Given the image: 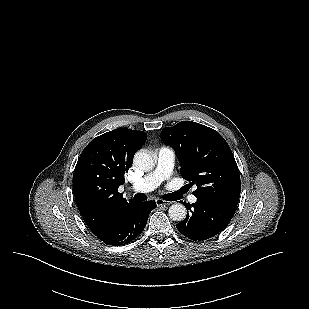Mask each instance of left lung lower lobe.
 <instances>
[{
    "mask_svg": "<svg viewBox=\"0 0 309 309\" xmlns=\"http://www.w3.org/2000/svg\"><path fill=\"white\" fill-rule=\"evenodd\" d=\"M190 211L176 225L178 231L191 240H207L219 234L231 221L237 205L210 198H199L186 204Z\"/></svg>",
    "mask_w": 309,
    "mask_h": 309,
    "instance_id": "obj_1",
    "label": "left lung lower lobe"
}]
</instances>
